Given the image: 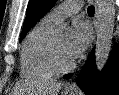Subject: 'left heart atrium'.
<instances>
[{"mask_svg":"<svg viewBox=\"0 0 119 95\" xmlns=\"http://www.w3.org/2000/svg\"><path fill=\"white\" fill-rule=\"evenodd\" d=\"M91 38L89 26L79 20L73 22L70 35L66 42V53L72 59L80 57L85 51Z\"/></svg>","mask_w":119,"mask_h":95,"instance_id":"1","label":"left heart atrium"}]
</instances>
